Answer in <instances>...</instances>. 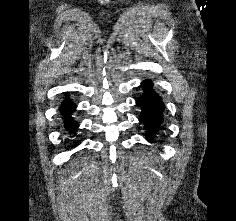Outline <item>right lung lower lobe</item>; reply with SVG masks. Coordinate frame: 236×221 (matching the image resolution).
I'll return each instance as SVG.
<instances>
[{
  "mask_svg": "<svg viewBox=\"0 0 236 221\" xmlns=\"http://www.w3.org/2000/svg\"><path fill=\"white\" fill-rule=\"evenodd\" d=\"M75 105L70 99L65 100L60 106V112L63 114L66 121V129L72 133L76 131L77 123L71 118V113L75 109Z\"/></svg>",
  "mask_w": 236,
  "mask_h": 221,
  "instance_id": "right-lung-lower-lobe-1",
  "label": "right lung lower lobe"
}]
</instances>
